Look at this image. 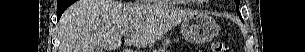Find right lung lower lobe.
Returning <instances> with one entry per match:
<instances>
[{"instance_id": "98d812e1", "label": "right lung lower lobe", "mask_w": 305, "mask_h": 52, "mask_svg": "<svg viewBox=\"0 0 305 52\" xmlns=\"http://www.w3.org/2000/svg\"><path fill=\"white\" fill-rule=\"evenodd\" d=\"M75 0H58L57 4V18L60 19L62 13L64 12L67 7H69Z\"/></svg>"}]
</instances>
